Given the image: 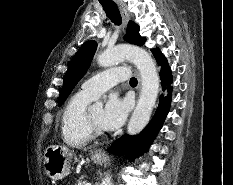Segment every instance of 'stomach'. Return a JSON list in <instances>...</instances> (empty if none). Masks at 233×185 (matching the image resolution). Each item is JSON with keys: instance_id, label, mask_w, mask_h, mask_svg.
Masks as SVG:
<instances>
[{"instance_id": "1", "label": "stomach", "mask_w": 233, "mask_h": 185, "mask_svg": "<svg viewBox=\"0 0 233 185\" xmlns=\"http://www.w3.org/2000/svg\"><path fill=\"white\" fill-rule=\"evenodd\" d=\"M43 158L44 171L50 179L62 180L70 174L73 154L68 148L58 145L49 146ZM91 159L97 164H102L106 157L95 152Z\"/></svg>"}]
</instances>
